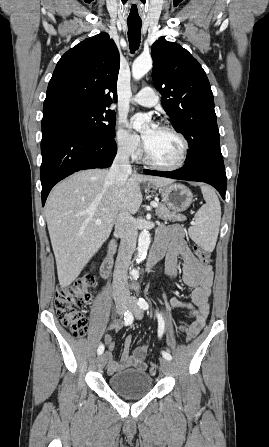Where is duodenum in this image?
<instances>
[{
	"label": "duodenum",
	"mask_w": 269,
	"mask_h": 447,
	"mask_svg": "<svg viewBox=\"0 0 269 447\" xmlns=\"http://www.w3.org/2000/svg\"><path fill=\"white\" fill-rule=\"evenodd\" d=\"M114 250H115V245L114 243H111L108 251H107V255L103 260L102 266H101V274L104 278L108 277L111 269H112V265H113V255H114ZM163 255V252L159 249H155L153 248L149 254L148 260H147V270H150L152 267H154V265L161 259Z\"/></svg>",
	"instance_id": "obj_1"
}]
</instances>
